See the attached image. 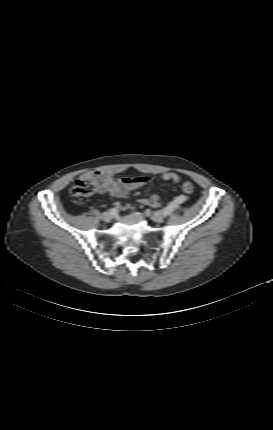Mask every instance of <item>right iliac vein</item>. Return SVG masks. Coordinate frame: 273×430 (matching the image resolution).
Wrapping results in <instances>:
<instances>
[{
    "label": "right iliac vein",
    "mask_w": 273,
    "mask_h": 430,
    "mask_svg": "<svg viewBox=\"0 0 273 430\" xmlns=\"http://www.w3.org/2000/svg\"><path fill=\"white\" fill-rule=\"evenodd\" d=\"M113 217H114V214H113L112 210L106 211L102 214V219L105 222H109L110 220L113 219Z\"/></svg>",
    "instance_id": "63e3f726"
}]
</instances>
